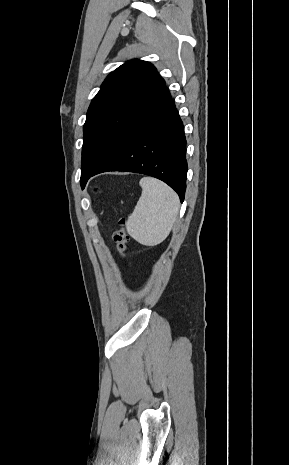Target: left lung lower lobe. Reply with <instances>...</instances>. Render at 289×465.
<instances>
[{
  "instance_id": "left-lung-lower-lobe-1",
  "label": "left lung lower lobe",
  "mask_w": 289,
  "mask_h": 465,
  "mask_svg": "<svg viewBox=\"0 0 289 465\" xmlns=\"http://www.w3.org/2000/svg\"><path fill=\"white\" fill-rule=\"evenodd\" d=\"M106 171H127L156 177L172 187L183 202L187 175L186 139L183 123L165 85L89 173L86 182Z\"/></svg>"
}]
</instances>
